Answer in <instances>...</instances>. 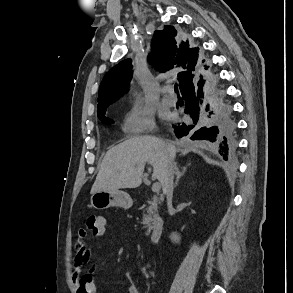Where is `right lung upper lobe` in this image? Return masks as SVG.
<instances>
[{
    "instance_id": "right-lung-upper-lobe-1",
    "label": "right lung upper lobe",
    "mask_w": 293,
    "mask_h": 293,
    "mask_svg": "<svg viewBox=\"0 0 293 293\" xmlns=\"http://www.w3.org/2000/svg\"><path fill=\"white\" fill-rule=\"evenodd\" d=\"M177 31L172 26H165L163 30L155 31L152 42L153 54L150 56L153 66L161 71H167L174 66H181L183 71L178 74L180 90L195 77V65L198 49L189 48L188 41L177 43ZM132 60L127 59L113 67L104 76L99 92L97 114L105 115L106 108L128 89L133 76Z\"/></svg>"
}]
</instances>
